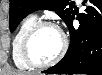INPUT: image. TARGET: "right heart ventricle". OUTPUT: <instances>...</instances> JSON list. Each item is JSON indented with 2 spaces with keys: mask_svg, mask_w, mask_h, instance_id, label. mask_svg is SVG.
<instances>
[{
  "mask_svg": "<svg viewBox=\"0 0 102 75\" xmlns=\"http://www.w3.org/2000/svg\"><path fill=\"white\" fill-rule=\"evenodd\" d=\"M37 22L35 14H29L23 18L12 40V57L14 63L19 68H29L30 65L25 60L22 52V42L30 28Z\"/></svg>",
  "mask_w": 102,
  "mask_h": 75,
  "instance_id": "right-heart-ventricle-1",
  "label": "right heart ventricle"
}]
</instances>
